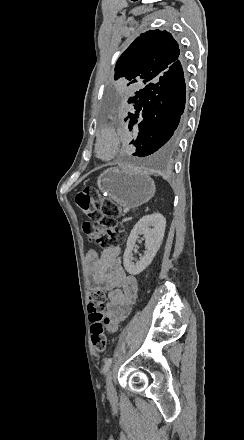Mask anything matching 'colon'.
<instances>
[{"instance_id": "obj_1", "label": "colon", "mask_w": 244, "mask_h": 440, "mask_svg": "<svg viewBox=\"0 0 244 440\" xmlns=\"http://www.w3.org/2000/svg\"><path fill=\"white\" fill-rule=\"evenodd\" d=\"M75 203L79 212L89 219V222L82 225L83 231L99 246L111 248L117 245L119 239H124L126 223L117 221L119 212L114 203L104 200L100 194L89 187L76 194ZM87 311L91 322L92 345L97 353H104L107 349V335L103 291L98 290L92 293Z\"/></svg>"}]
</instances>
